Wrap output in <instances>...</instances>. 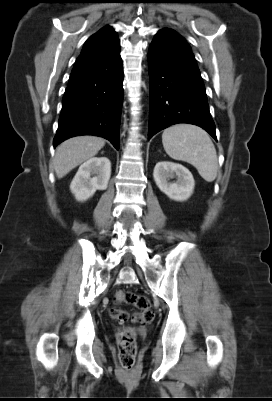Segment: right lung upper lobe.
Segmentation results:
<instances>
[{
  "label": "right lung upper lobe",
  "mask_w": 272,
  "mask_h": 401,
  "mask_svg": "<svg viewBox=\"0 0 272 401\" xmlns=\"http://www.w3.org/2000/svg\"><path fill=\"white\" fill-rule=\"evenodd\" d=\"M118 46L119 40L113 28L110 26L103 27L85 42L72 72L100 60Z\"/></svg>",
  "instance_id": "right-lung-upper-lobe-1"
}]
</instances>
